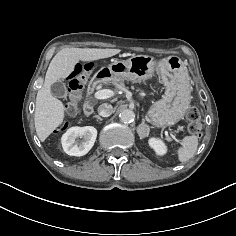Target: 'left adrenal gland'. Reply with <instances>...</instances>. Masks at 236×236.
Here are the masks:
<instances>
[{
    "label": "left adrenal gland",
    "mask_w": 236,
    "mask_h": 236,
    "mask_svg": "<svg viewBox=\"0 0 236 236\" xmlns=\"http://www.w3.org/2000/svg\"><path fill=\"white\" fill-rule=\"evenodd\" d=\"M144 128H148V125L145 124L144 119H142V123L137 127V133L139 134V136L142 135V130H143Z\"/></svg>",
    "instance_id": "left-adrenal-gland-1"
}]
</instances>
